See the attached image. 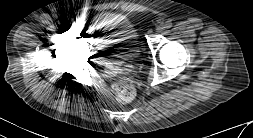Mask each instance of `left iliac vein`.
<instances>
[{"instance_id": "4c4485c4", "label": "left iliac vein", "mask_w": 253, "mask_h": 138, "mask_svg": "<svg viewBox=\"0 0 253 138\" xmlns=\"http://www.w3.org/2000/svg\"><path fill=\"white\" fill-rule=\"evenodd\" d=\"M162 29H163V27H161V26H159V27L157 28L158 31H161Z\"/></svg>"}]
</instances>
